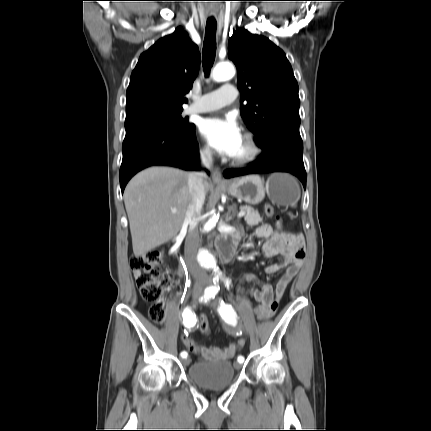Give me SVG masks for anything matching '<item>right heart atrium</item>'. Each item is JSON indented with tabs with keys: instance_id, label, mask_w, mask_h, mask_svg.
<instances>
[{
	"instance_id": "1",
	"label": "right heart atrium",
	"mask_w": 431,
	"mask_h": 431,
	"mask_svg": "<svg viewBox=\"0 0 431 431\" xmlns=\"http://www.w3.org/2000/svg\"><path fill=\"white\" fill-rule=\"evenodd\" d=\"M201 155L205 159H208L210 157V150L207 146H205L201 149Z\"/></svg>"
}]
</instances>
